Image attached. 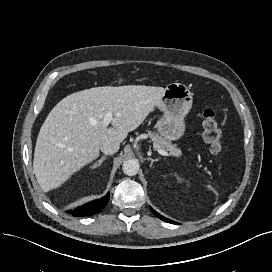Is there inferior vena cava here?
Instances as JSON below:
<instances>
[{"label":"inferior vena cava","mask_w":272,"mask_h":272,"mask_svg":"<svg viewBox=\"0 0 272 272\" xmlns=\"http://www.w3.org/2000/svg\"><path fill=\"white\" fill-rule=\"evenodd\" d=\"M100 150L106 155H112L119 150V146L116 143L106 142L101 145Z\"/></svg>","instance_id":"1"}]
</instances>
